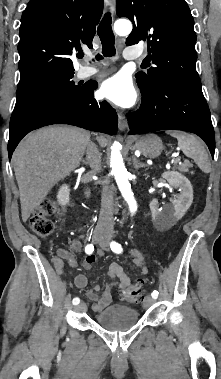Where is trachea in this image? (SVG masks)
I'll list each match as a JSON object with an SVG mask.
<instances>
[{
    "label": "trachea",
    "instance_id": "1",
    "mask_svg": "<svg viewBox=\"0 0 221 379\" xmlns=\"http://www.w3.org/2000/svg\"><path fill=\"white\" fill-rule=\"evenodd\" d=\"M111 23V14L108 12L104 15L97 30L98 36L102 43V54L104 57H112L116 53L114 46L115 37L112 31ZM103 56L98 54L96 59H103ZM79 58H83V54L79 55Z\"/></svg>",
    "mask_w": 221,
    "mask_h": 379
}]
</instances>
